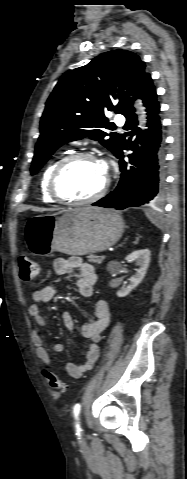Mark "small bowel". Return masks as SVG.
I'll return each mask as SVG.
<instances>
[{
	"label": "small bowel",
	"mask_w": 187,
	"mask_h": 479,
	"mask_svg": "<svg viewBox=\"0 0 187 479\" xmlns=\"http://www.w3.org/2000/svg\"><path fill=\"white\" fill-rule=\"evenodd\" d=\"M53 266L55 272L59 275H74L76 277L77 288L81 296L89 297L92 295L97 282V275L91 264L83 261L78 256H72L69 258L55 259ZM56 292L57 289L54 285H48L33 294V303L29 306L28 313L39 327H44L46 324L45 318L40 310V304L52 301ZM110 318L111 309L107 301L103 299L98 300L95 304L93 316H91L81 328L83 337L90 341L85 354V360L81 364H76L72 361H67L65 364V369L70 377L80 379L86 372L93 369L100 354L99 342L101 340V334L108 326ZM62 320L65 328L69 331H73L74 318L69 311L63 312ZM32 341L37 357L44 364L42 373L45 376L46 370L53 371L52 361L39 330H33ZM52 348L55 353H63L66 349L65 344L61 342L54 343Z\"/></svg>",
	"instance_id": "small-bowel-1"
}]
</instances>
